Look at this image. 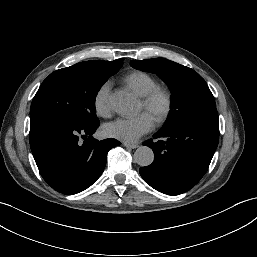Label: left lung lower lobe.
Returning <instances> with one entry per match:
<instances>
[{
    "mask_svg": "<svg viewBox=\"0 0 257 257\" xmlns=\"http://www.w3.org/2000/svg\"><path fill=\"white\" fill-rule=\"evenodd\" d=\"M144 145L154 162L139 169L142 178L159 192L178 195L196 185L206 173L219 140L216 109L200 112L162 127Z\"/></svg>",
    "mask_w": 257,
    "mask_h": 257,
    "instance_id": "left-lung-lower-lobe-1",
    "label": "left lung lower lobe"
}]
</instances>
